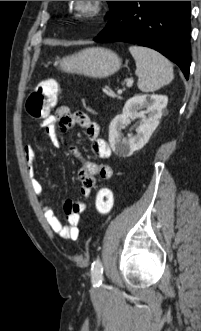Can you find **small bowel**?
<instances>
[{"label": "small bowel", "instance_id": "obj_1", "mask_svg": "<svg viewBox=\"0 0 201 331\" xmlns=\"http://www.w3.org/2000/svg\"><path fill=\"white\" fill-rule=\"evenodd\" d=\"M41 125L55 147H60L59 130L65 131L78 125L85 130L86 136L91 142V150L96 157L103 160L111 157L109 144L100 138L98 124L84 112H72L68 106H60L54 114H50L44 118ZM69 151L81 162L78 172V178L81 182L80 194L82 197L88 198L95 185L96 177L108 180L113 176V169L106 163H96L84 159L79 150L74 146L69 147ZM24 156L33 191L38 197L48 225L62 239L69 241L76 240L79 236L80 216L86 208L85 203L82 201L67 200L64 204L67 225H63L53 209L46 203L43 186L37 178L33 166L36 157V150L33 144H26L24 146Z\"/></svg>", "mask_w": 201, "mask_h": 331}]
</instances>
